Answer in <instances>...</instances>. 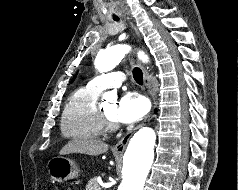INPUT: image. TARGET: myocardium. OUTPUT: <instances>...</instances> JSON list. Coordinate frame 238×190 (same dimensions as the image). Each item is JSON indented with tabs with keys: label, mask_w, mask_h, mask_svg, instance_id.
I'll return each mask as SVG.
<instances>
[{
	"label": "myocardium",
	"mask_w": 238,
	"mask_h": 190,
	"mask_svg": "<svg viewBox=\"0 0 238 190\" xmlns=\"http://www.w3.org/2000/svg\"><path fill=\"white\" fill-rule=\"evenodd\" d=\"M98 119L99 123L105 132H113L119 129V124L117 121L110 119L102 109H98Z\"/></svg>",
	"instance_id": "obj_1"
}]
</instances>
